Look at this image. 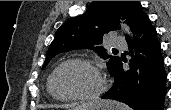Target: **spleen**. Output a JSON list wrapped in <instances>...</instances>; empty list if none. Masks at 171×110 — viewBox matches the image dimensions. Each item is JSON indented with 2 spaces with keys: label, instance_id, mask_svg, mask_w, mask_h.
Here are the masks:
<instances>
[{
  "label": "spleen",
  "instance_id": "3e777b00",
  "mask_svg": "<svg viewBox=\"0 0 171 110\" xmlns=\"http://www.w3.org/2000/svg\"><path fill=\"white\" fill-rule=\"evenodd\" d=\"M121 110H126V107L125 106H121Z\"/></svg>",
  "mask_w": 171,
  "mask_h": 110
}]
</instances>
